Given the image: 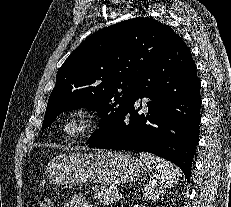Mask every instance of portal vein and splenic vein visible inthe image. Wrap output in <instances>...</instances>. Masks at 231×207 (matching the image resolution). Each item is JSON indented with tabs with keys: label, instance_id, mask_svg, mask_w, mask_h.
Instances as JSON below:
<instances>
[{
	"label": "portal vein and splenic vein",
	"instance_id": "1",
	"mask_svg": "<svg viewBox=\"0 0 231 207\" xmlns=\"http://www.w3.org/2000/svg\"><path fill=\"white\" fill-rule=\"evenodd\" d=\"M122 194L117 192V198H121Z\"/></svg>",
	"mask_w": 231,
	"mask_h": 207
}]
</instances>
